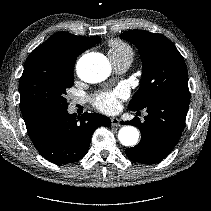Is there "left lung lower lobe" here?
I'll use <instances>...</instances> for the list:
<instances>
[{
  "label": "left lung lower lobe",
  "mask_w": 211,
  "mask_h": 211,
  "mask_svg": "<svg viewBox=\"0 0 211 211\" xmlns=\"http://www.w3.org/2000/svg\"><path fill=\"white\" fill-rule=\"evenodd\" d=\"M189 100V93L167 94L145 107L148 115L144 122L138 117L121 122L135 125L141 132L140 143L125 150L127 157L139 163L154 164L170 154L183 132Z\"/></svg>",
  "instance_id": "1"
}]
</instances>
